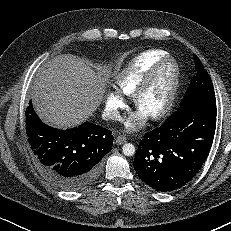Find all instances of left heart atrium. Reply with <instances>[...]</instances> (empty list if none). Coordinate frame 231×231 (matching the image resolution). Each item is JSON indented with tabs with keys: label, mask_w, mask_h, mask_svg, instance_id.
Returning <instances> with one entry per match:
<instances>
[{
	"label": "left heart atrium",
	"mask_w": 231,
	"mask_h": 231,
	"mask_svg": "<svg viewBox=\"0 0 231 231\" xmlns=\"http://www.w3.org/2000/svg\"><path fill=\"white\" fill-rule=\"evenodd\" d=\"M146 117L147 116L145 114H143L142 112H139L126 123V128L128 130L136 129Z\"/></svg>",
	"instance_id": "obj_1"
}]
</instances>
